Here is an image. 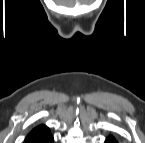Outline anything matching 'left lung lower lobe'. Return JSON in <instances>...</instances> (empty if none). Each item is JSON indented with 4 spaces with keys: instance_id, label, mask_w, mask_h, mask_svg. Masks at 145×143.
<instances>
[{
    "instance_id": "0a47b994",
    "label": "left lung lower lobe",
    "mask_w": 145,
    "mask_h": 143,
    "mask_svg": "<svg viewBox=\"0 0 145 143\" xmlns=\"http://www.w3.org/2000/svg\"><path fill=\"white\" fill-rule=\"evenodd\" d=\"M105 143H117L116 140L113 137H108L105 141Z\"/></svg>"
}]
</instances>
